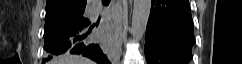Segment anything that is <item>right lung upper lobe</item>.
I'll return each instance as SVG.
<instances>
[{
    "label": "right lung upper lobe",
    "instance_id": "obj_1",
    "mask_svg": "<svg viewBox=\"0 0 242 64\" xmlns=\"http://www.w3.org/2000/svg\"><path fill=\"white\" fill-rule=\"evenodd\" d=\"M87 0H47L46 13L75 10L86 6Z\"/></svg>",
    "mask_w": 242,
    "mask_h": 64
}]
</instances>
